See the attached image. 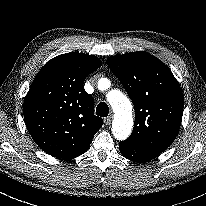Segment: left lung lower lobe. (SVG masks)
I'll return each mask as SVG.
<instances>
[{"instance_id":"left-lung-lower-lobe-1","label":"left lung lower lobe","mask_w":206,"mask_h":206,"mask_svg":"<svg viewBox=\"0 0 206 206\" xmlns=\"http://www.w3.org/2000/svg\"><path fill=\"white\" fill-rule=\"evenodd\" d=\"M119 148L123 157L139 163L148 162L160 154L124 141L119 143Z\"/></svg>"}]
</instances>
